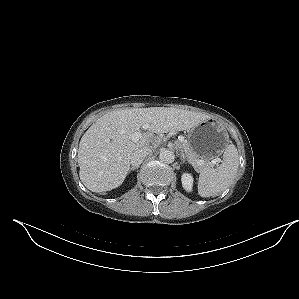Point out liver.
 <instances>
[{"instance_id": "1", "label": "liver", "mask_w": 299, "mask_h": 299, "mask_svg": "<svg viewBox=\"0 0 299 299\" xmlns=\"http://www.w3.org/2000/svg\"><path fill=\"white\" fill-rule=\"evenodd\" d=\"M209 116L177 108L150 107L111 111L104 114L84 133L79 143V176L92 192L120 186L130 169L131 155L150 148L155 134L183 131L197 126ZM148 130L137 142L132 134Z\"/></svg>"}]
</instances>
